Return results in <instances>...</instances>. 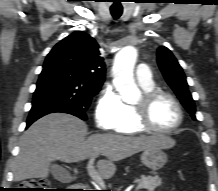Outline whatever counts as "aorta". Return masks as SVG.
<instances>
[{
    "label": "aorta",
    "instance_id": "1",
    "mask_svg": "<svg viewBox=\"0 0 218 191\" xmlns=\"http://www.w3.org/2000/svg\"><path fill=\"white\" fill-rule=\"evenodd\" d=\"M136 59L137 50L133 46H126L115 56L113 66L115 87L122 100L129 104L140 98V90L133 76Z\"/></svg>",
    "mask_w": 218,
    "mask_h": 191
}]
</instances>
